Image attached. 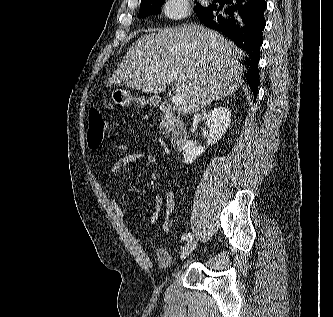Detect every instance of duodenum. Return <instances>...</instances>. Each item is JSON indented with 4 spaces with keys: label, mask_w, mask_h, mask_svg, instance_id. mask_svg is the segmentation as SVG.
Wrapping results in <instances>:
<instances>
[{
    "label": "duodenum",
    "mask_w": 333,
    "mask_h": 317,
    "mask_svg": "<svg viewBox=\"0 0 333 317\" xmlns=\"http://www.w3.org/2000/svg\"><path fill=\"white\" fill-rule=\"evenodd\" d=\"M154 104L159 108L165 120L169 121L172 115L171 104L161 98H155ZM188 134L183 126L179 124L172 125L170 141L176 151H181L187 141Z\"/></svg>",
    "instance_id": "duodenum-1"
}]
</instances>
